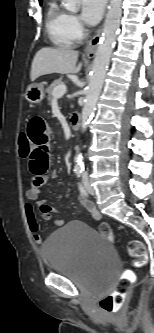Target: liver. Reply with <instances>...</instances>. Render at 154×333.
<instances>
[{
  "label": "liver",
  "instance_id": "1",
  "mask_svg": "<svg viewBox=\"0 0 154 333\" xmlns=\"http://www.w3.org/2000/svg\"><path fill=\"white\" fill-rule=\"evenodd\" d=\"M78 51L67 47H44L40 49L31 66V81L36 80L42 75L53 73L69 74L78 73L81 70V64L76 66Z\"/></svg>",
  "mask_w": 154,
  "mask_h": 333
}]
</instances>
